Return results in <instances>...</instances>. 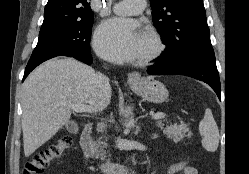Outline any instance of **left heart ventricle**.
<instances>
[{
    "instance_id": "obj_1",
    "label": "left heart ventricle",
    "mask_w": 249,
    "mask_h": 174,
    "mask_svg": "<svg viewBox=\"0 0 249 174\" xmlns=\"http://www.w3.org/2000/svg\"><path fill=\"white\" fill-rule=\"evenodd\" d=\"M151 48V42L148 35L145 32L140 33L138 41V54L137 57L145 53Z\"/></svg>"
}]
</instances>
